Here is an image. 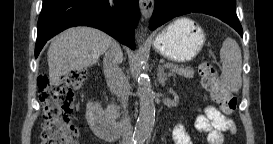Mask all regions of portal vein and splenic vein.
<instances>
[{"label":"portal vein and splenic vein","instance_id":"obj_1","mask_svg":"<svg viewBox=\"0 0 273 144\" xmlns=\"http://www.w3.org/2000/svg\"><path fill=\"white\" fill-rule=\"evenodd\" d=\"M164 67L165 68H173V67H175V65L172 63H166V64H164Z\"/></svg>","mask_w":273,"mask_h":144}]
</instances>
